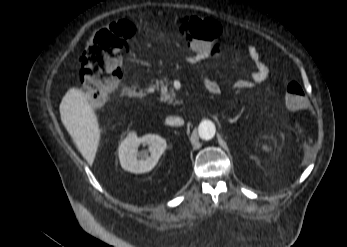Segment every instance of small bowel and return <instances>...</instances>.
Instances as JSON below:
<instances>
[{
    "instance_id": "1",
    "label": "small bowel",
    "mask_w": 347,
    "mask_h": 247,
    "mask_svg": "<svg viewBox=\"0 0 347 247\" xmlns=\"http://www.w3.org/2000/svg\"><path fill=\"white\" fill-rule=\"evenodd\" d=\"M224 52V43L222 41L213 42L205 50H194V53L186 56V61L191 65H199L209 59L218 58ZM247 57L255 65V71L248 78H238L233 81L232 86L236 89H247L260 84L266 80L269 75L268 66L262 61L259 50L255 45L247 47ZM204 86L208 92L217 94L220 92L219 84L208 76L203 77Z\"/></svg>"
}]
</instances>
